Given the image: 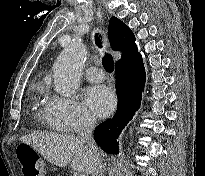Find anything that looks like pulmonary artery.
<instances>
[{"label":"pulmonary artery","instance_id":"1","mask_svg":"<svg viewBox=\"0 0 205 176\" xmlns=\"http://www.w3.org/2000/svg\"><path fill=\"white\" fill-rule=\"evenodd\" d=\"M85 77L91 82H102L104 80V72L99 67H89L84 72Z\"/></svg>","mask_w":205,"mask_h":176}]
</instances>
